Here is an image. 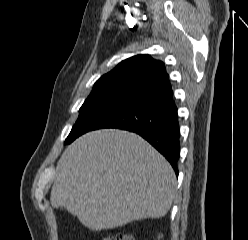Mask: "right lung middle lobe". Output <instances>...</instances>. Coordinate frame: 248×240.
<instances>
[{
    "instance_id": "1",
    "label": "right lung middle lobe",
    "mask_w": 248,
    "mask_h": 240,
    "mask_svg": "<svg viewBox=\"0 0 248 240\" xmlns=\"http://www.w3.org/2000/svg\"><path fill=\"white\" fill-rule=\"evenodd\" d=\"M136 101L138 100L134 97L112 91H92L81 106L78 120L67 137L65 144L71 143L78 136L89 131L103 118Z\"/></svg>"
}]
</instances>
